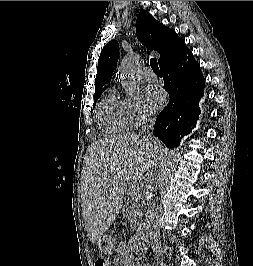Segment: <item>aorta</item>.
<instances>
[{
    "label": "aorta",
    "mask_w": 253,
    "mask_h": 266,
    "mask_svg": "<svg viewBox=\"0 0 253 266\" xmlns=\"http://www.w3.org/2000/svg\"><path fill=\"white\" fill-rule=\"evenodd\" d=\"M121 84L127 94L134 95L140 89V83L136 76V59L134 54H129L121 62L119 67Z\"/></svg>",
    "instance_id": "obj_1"
}]
</instances>
